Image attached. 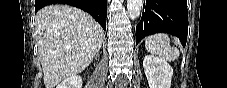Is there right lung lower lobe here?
<instances>
[{"mask_svg":"<svg viewBox=\"0 0 227 88\" xmlns=\"http://www.w3.org/2000/svg\"><path fill=\"white\" fill-rule=\"evenodd\" d=\"M68 4L89 13L106 30L107 0H35V13L50 4Z\"/></svg>","mask_w":227,"mask_h":88,"instance_id":"right-lung-lower-lobe-1","label":"right lung lower lobe"}]
</instances>
